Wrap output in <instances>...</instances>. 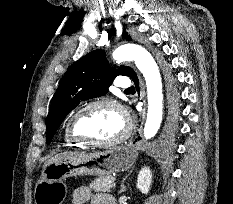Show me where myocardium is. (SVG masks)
<instances>
[{
  "label": "myocardium",
  "instance_id": "obj_1",
  "mask_svg": "<svg viewBox=\"0 0 233 204\" xmlns=\"http://www.w3.org/2000/svg\"><path fill=\"white\" fill-rule=\"evenodd\" d=\"M98 106H109V107L116 109L120 113L124 121V130L122 131L120 135L108 141H94V140L85 138L76 132L75 123L78 117L85 111L93 107H98ZM68 131L72 138H74L77 141L82 142L85 145L93 146V147L108 148V147H113V146H116L124 142L130 136L131 131H132V120H131V117L127 109L120 102L114 99H110V98H102V99L90 101L84 104L83 106H81L79 109H77L72 114V116L70 117L68 121Z\"/></svg>",
  "mask_w": 233,
  "mask_h": 204
}]
</instances>
